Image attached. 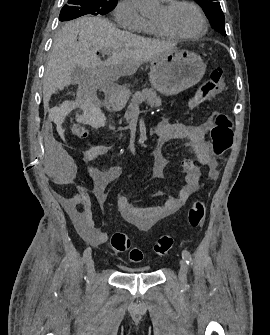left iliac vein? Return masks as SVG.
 Listing matches in <instances>:
<instances>
[{
  "mask_svg": "<svg viewBox=\"0 0 270 335\" xmlns=\"http://www.w3.org/2000/svg\"><path fill=\"white\" fill-rule=\"evenodd\" d=\"M187 263L185 262L184 259L180 261V270H179V280L181 283H185L187 279Z\"/></svg>",
  "mask_w": 270,
  "mask_h": 335,
  "instance_id": "obj_1",
  "label": "left iliac vein"
}]
</instances>
